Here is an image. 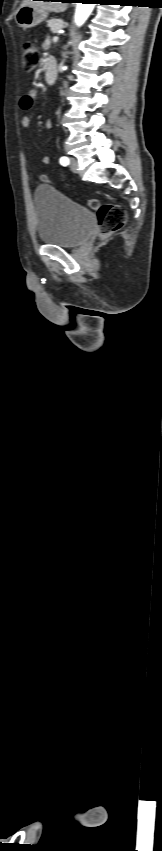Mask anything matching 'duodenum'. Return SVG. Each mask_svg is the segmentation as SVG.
<instances>
[{"label":"duodenum","mask_w":162,"mask_h":851,"mask_svg":"<svg viewBox=\"0 0 162 851\" xmlns=\"http://www.w3.org/2000/svg\"><path fill=\"white\" fill-rule=\"evenodd\" d=\"M44 75L47 84L51 85L55 82L57 78V66L54 59L48 58L46 60L44 65Z\"/></svg>","instance_id":"duodenum-1"}]
</instances>
